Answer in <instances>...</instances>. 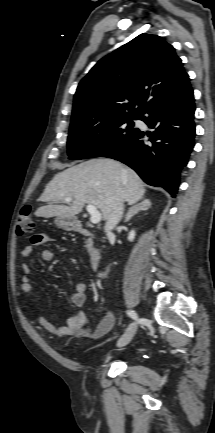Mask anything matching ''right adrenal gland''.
I'll use <instances>...</instances> for the list:
<instances>
[{
    "mask_svg": "<svg viewBox=\"0 0 215 433\" xmlns=\"http://www.w3.org/2000/svg\"><path fill=\"white\" fill-rule=\"evenodd\" d=\"M150 207H151V202L149 199H144L141 203L133 205L127 212L124 222H129L131 218L139 211H145Z\"/></svg>",
    "mask_w": 215,
    "mask_h": 433,
    "instance_id": "1",
    "label": "right adrenal gland"
}]
</instances>
